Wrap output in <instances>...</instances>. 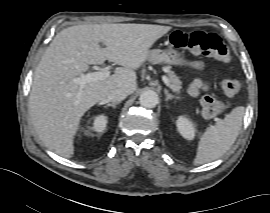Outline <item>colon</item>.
<instances>
[{
	"instance_id": "5ec220e1",
	"label": "colon",
	"mask_w": 270,
	"mask_h": 213,
	"mask_svg": "<svg viewBox=\"0 0 270 213\" xmlns=\"http://www.w3.org/2000/svg\"><path fill=\"white\" fill-rule=\"evenodd\" d=\"M171 43L177 48H185L193 55L211 57L221 63H228L230 50L222 38L215 33L194 31L184 33L174 32ZM221 88L227 97H233L240 91V83L236 79L225 78L221 81ZM202 112L205 116H216L228 106V101L206 95L201 100Z\"/></svg>"
}]
</instances>
